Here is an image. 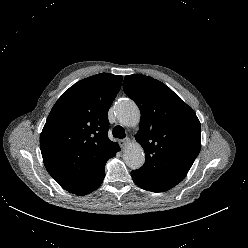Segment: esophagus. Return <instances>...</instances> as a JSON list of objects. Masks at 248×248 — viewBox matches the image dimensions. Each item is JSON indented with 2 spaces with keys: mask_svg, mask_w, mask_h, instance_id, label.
<instances>
[{
  "mask_svg": "<svg viewBox=\"0 0 248 248\" xmlns=\"http://www.w3.org/2000/svg\"><path fill=\"white\" fill-rule=\"evenodd\" d=\"M129 143H130V138H125V139L120 140V146L122 148H125Z\"/></svg>",
  "mask_w": 248,
  "mask_h": 248,
  "instance_id": "obj_1",
  "label": "esophagus"
}]
</instances>
